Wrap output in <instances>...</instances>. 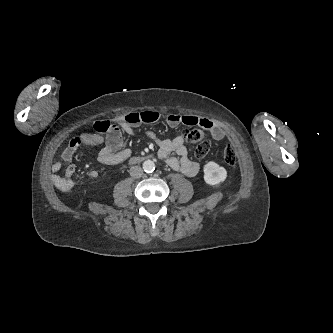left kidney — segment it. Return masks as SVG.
<instances>
[{"instance_id":"5707ae66","label":"left kidney","mask_w":333,"mask_h":333,"mask_svg":"<svg viewBox=\"0 0 333 333\" xmlns=\"http://www.w3.org/2000/svg\"><path fill=\"white\" fill-rule=\"evenodd\" d=\"M227 171L219 164L210 161L204 166V180L208 185H218L225 181Z\"/></svg>"}]
</instances>
